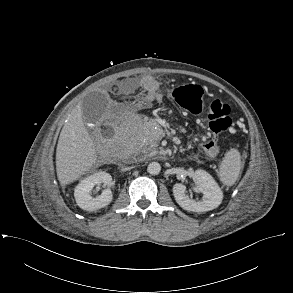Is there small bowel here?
I'll return each instance as SVG.
<instances>
[{
    "instance_id": "small-bowel-1",
    "label": "small bowel",
    "mask_w": 293,
    "mask_h": 293,
    "mask_svg": "<svg viewBox=\"0 0 293 293\" xmlns=\"http://www.w3.org/2000/svg\"><path fill=\"white\" fill-rule=\"evenodd\" d=\"M130 89H137L145 93V98L150 100H161V95L158 92L159 83L151 75H142L139 78H132L128 81Z\"/></svg>"
}]
</instances>
